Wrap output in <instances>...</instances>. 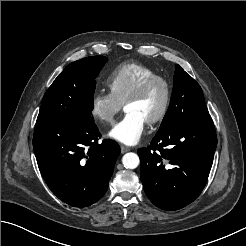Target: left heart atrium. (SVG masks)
<instances>
[{
  "instance_id": "39dd6f15",
  "label": "left heart atrium",
  "mask_w": 246,
  "mask_h": 246,
  "mask_svg": "<svg viewBox=\"0 0 246 246\" xmlns=\"http://www.w3.org/2000/svg\"><path fill=\"white\" fill-rule=\"evenodd\" d=\"M146 121L135 112H127L125 116L109 131V137L126 144L134 145L139 142L144 131Z\"/></svg>"
}]
</instances>
